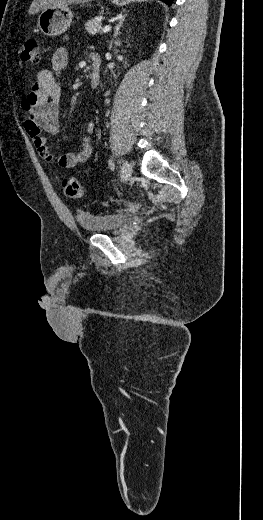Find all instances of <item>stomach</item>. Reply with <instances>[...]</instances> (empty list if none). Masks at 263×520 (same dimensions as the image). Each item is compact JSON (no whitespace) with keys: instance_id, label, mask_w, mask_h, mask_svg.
Here are the masks:
<instances>
[{"instance_id":"1","label":"stomach","mask_w":263,"mask_h":520,"mask_svg":"<svg viewBox=\"0 0 263 520\" xmlns=\"http://www.w3.org/2000/svg\"><path fill=\"white\" fill-rule=\"evenodd\" d=\"M142 0H111L117 6H125L131 2ZM73 14L68 6L50 7L38 16V27L46 36H59L71 25Z\"/></svg>"}]
</instances>
